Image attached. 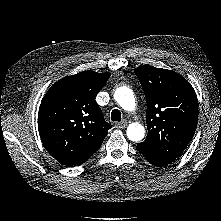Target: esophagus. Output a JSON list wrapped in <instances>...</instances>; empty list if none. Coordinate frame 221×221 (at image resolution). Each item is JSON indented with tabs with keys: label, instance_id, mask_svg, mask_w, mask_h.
<instances>
[{
	"label": "esophagus",
	"instance_id": "esophagus-1",
	"mask_svg": "<svg viewBox=\"0 0 221 221\" xmlns=\"http://www.w3.org/2000/svg\"><path fill=\"white\" fill-rule=\"evenodd\" d=\"M127 126V121L126 120H122L120 122H116L115 123V127L116 128H124Z\"/></svg>",
	"mask_w": 221,
	"mask_h": 221
}]
</instances>
